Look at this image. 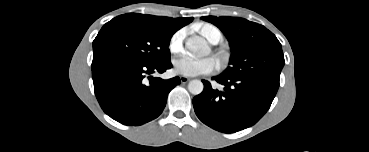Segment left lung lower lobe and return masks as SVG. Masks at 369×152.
<instances>
[{
    "label": "left lung lower lobe",
    "instance_id": "1",
    "mask_svg": "<svg viewBox=\"0 0 369 152\" xmlns=\"http://www.w3.org/2000/svg\"><path fill=\"white\" fill-rule=\"evenodd\" d=\"M224 86L213 89L202 80L204 90L193 99L197 117L209 127L224 133L246 129L268 111L279 88V81L264 77L212 78Z\"/></svg>",
    "mask_w": 369,
    "mask_h": 152
}]
</instances>
